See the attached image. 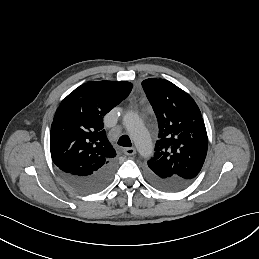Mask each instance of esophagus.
Instances as JSON below:
<instances>
[{
	"instance_id": "34e87169",
	"label": "esophagus",
	"mask_w": 259,
	"mask_h": 259,
	"mask_svg": "<svg viewBox=\"0 0 259 259\" xmlns=\"http://www.w3.org/2000/svg\"><path fill=\"white\" fill-rule=\"evenodd\" d=\"M123 153L127 156H132L136 154V149L131 147V148H125L123 149Z\"/></svg>"
}]
</instances>
